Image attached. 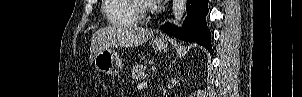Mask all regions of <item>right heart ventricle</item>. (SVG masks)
<instances>
[{
	"label": "right heart ventricle",
	"instance_id": "1",
	"mask_svg": "<svg viewBox=\"0 0 302 97\" xmlns=\"http://www.w3.org/2000/svg\"><path fill=\"white\" fill-rule=\"evenodd\" d=\"M103 13L114 26H136L139 18L133 10V0H105Z\"/></svg>",
	"mask_w": 302,
	"mask_h": 97
}]
</instances>
